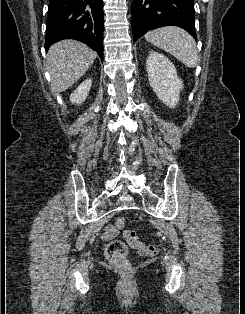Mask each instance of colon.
Segmentation results:
<instances>
[{
  "label": "colon",
  "instance_id": "obj_1",
  "mask_svg": "<svg viewBox=\"0 0 245 314\" xmlns=\"http://www.w3.org/2000/svg\"><path fill=\"white\" fill-rule=\"evenodd\" d=\"M116 225L123 231L126 243L122 240H113L107 245L105 253L111 263L118 267H126L128 265V246L136 249L142 255L154 256L158 253V246L147 245L138 239L136 232L129 227L125 217H117Z\"/></svg>",
  "mask_w": 245,
  "mask_h": 314
}]
</instances>
